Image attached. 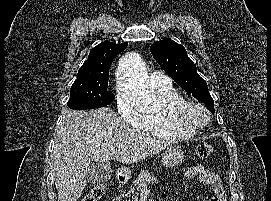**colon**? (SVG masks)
Masks as SVG:
<instances>
[{
  "label": "colon",
  "mask_w": 271,
  "mask_h": 201,
  "mask_svg": "<svg viewBox=\"0 0 271 201\" xmlns=\"http://www.w3.org/2000/svg\"><path fill=\"white\" fill-rule=\"evenodd\" d=\"M196 154L200 158H208L213 153V147L209 143H200L196 146ZM105 194L103 184L94 185L82 201H100Z\"/></svg>",
  "instance_id": "colon-1"
}]
</instances>
